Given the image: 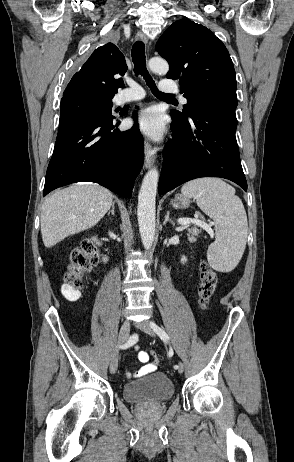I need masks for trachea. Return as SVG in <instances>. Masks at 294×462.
Masks as SVG:
<instances>
[{
    "mask_svg": "<svg viewBox=\"0 0 294 462\" xmlns=\"http://www.w3.org/2000/svg\"><path fill=\"white\" fill-rule=\"evenodd\" d=\"M131 56H132V61L134 63L135 74L143 76L147 85L151 89L152 93L159 98L174 100L173 96L162 93L157 89L154 80L148 73L147 68H146V59H145V45L142 41H137L134 43L132 47Z\"/></svg>",
    "mask_w": 294,
    "mask_h": 462,
    "instance_id": "3493384b",
    "label": "trachea"
}]
</instances>
